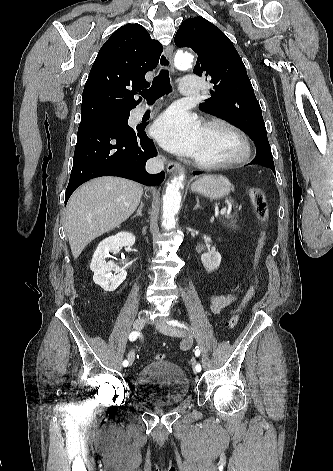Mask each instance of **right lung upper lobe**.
<instances>
[{
  "mask_svg": "<svg viewBox=\"0 0 333 471\" xmlns=\"http://www.w3.org/2000/svg\"><path fill=\"white\" fill-rule=\"evenodd\" d=\"M162 45L140 24L117 29L101 47L83 90L81 121L130 112L141 101L134 94L149 86L145 74L153 70Z\"/></svg>",
  "mask_w": 333,
  "mask_h": 471,
  "instance_id": "obj_1",
  "label": "right lung upper lobe"
}]
</instances>
